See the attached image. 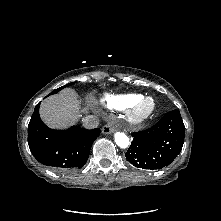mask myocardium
Listing matches in <instances>:
<instances>
[{"instance_id":"1","label":"myocardium","mask_w":221,"mask_h":221,"mask_svg":"<svg viewBox=\"0 0 221 221\" xmlns=\"http://www.w3.org/2000/svg\"><path fill=\"white\" fill-rule=\"evenodd\" d=\"M150 103V107L146 111H141L144 104ZM156 102L152 97L143 96L132 104L125 111V120L131 126H139L146 122L155 112Z\"/></svg>"}]
</instances>
